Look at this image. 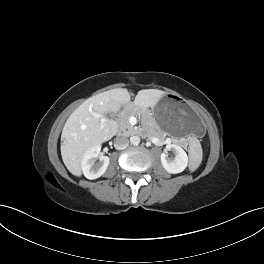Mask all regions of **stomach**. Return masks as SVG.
<instances>
[{"mask_svg":"<svg viewBox=\"0 0 264 264\" xmlns=\"http://www.w3.org/2000/svg\"><path fill=\"white\" fill-rule=\"evenodd\" d=\"M152 117L158 127L173 135L201 136L205 125L198 120L194 110L177 95H167L152 110Z\"/></svg>","mask_w":264,"mask_h":264,"instance_id":"1","label":"stomach"}]
</instances>
